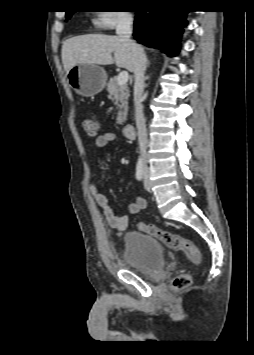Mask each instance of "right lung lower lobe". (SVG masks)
Wrapping results in <instances>:
<instances>
[{"label":"right lung lower lobe","mask_w":254,"mask_h":355,"mask_svg":"<svg viewBox=\"0 0 254 355\" xmlns=\"http://www.w3.org/2000/svg\"><path fill=\"white\" fill-rule=\"evenodd\" d=\"M187 13L174 8H161L149 13L137 11L133 35L141 44L175 56L180 50L182 28L187 25Z\"/></svg>","instance_id":"98d812e1"}]
</instances>
